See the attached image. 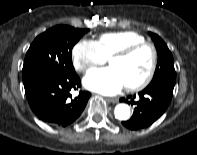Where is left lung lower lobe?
<instances>
[{
    "label": "left lung lower lobe",
    "mask_w": 197,
    "mask_h": 155,
    "mask_svg": "<svg viewBox=\"0 0 197 155\" xmlns=\"http://www.w3.org/2000/svg\"><path fill=\"white\" fill-rule=\"evenodd\" d=\"M173 95V88L165 85L147 86L139 93V100L135 102L131 96L121 98V102L135 104L132 117L122 124L130 130H138L150 126L167 109ZM130 99V101H128Z\"/></svg>",
    "instance_id": "left-lung-lower-lobe-1"
}]
</instances>
